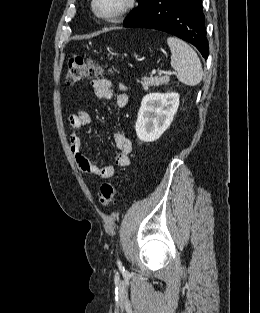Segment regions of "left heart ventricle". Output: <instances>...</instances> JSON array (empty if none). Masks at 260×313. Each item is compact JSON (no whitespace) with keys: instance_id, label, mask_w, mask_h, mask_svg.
Masks as SVG:
<instances>
[{"instance_id":"obj_1","label":"left heart ventricle","mask_w":260,"mask_h":313,"mask_svg":"<svg viewBox=\"0 0 260 313\" xmlns=\"http://www.w3.org/2000/svg\"><path fill=\"white\" fill-rule=\"evenodd\" d=\"M126 0H97V9L100 13L111 14L117 12Z\"/></svg>"}]
</instances>
